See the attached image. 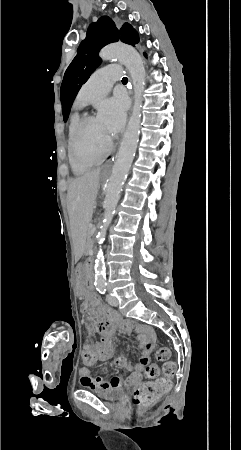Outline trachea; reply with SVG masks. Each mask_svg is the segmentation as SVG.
Instances as JSON below:
<instances>
[{"label":"trachea","mask_w":241,"mask_h":450,"mask_svg":"<svg viewBox=\"0 0 241 450\" xmlns=\"http://www.w3.org/2000/svg\"><path fill=\"white\" fill-rule=\"evenodd\" d=\"M127 80H128V78H127V77H124V78L122 79V82H127Z\"/></svg>","instance_id":"3493384b"}]
</instances>
